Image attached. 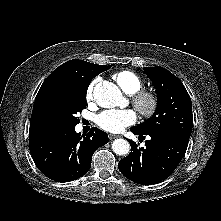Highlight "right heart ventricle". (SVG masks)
<instances>
[{
    "label": "right heart ventricle",
    "instance_id": "right-heart-ventricle-1",
    "mask_svg": "<svg viewBox=\"0 0 221 221\" xmlns=\"http://www.w3.org/2000/svg\"><path fill=\"white\" fill-rule=\"evenodd\" d=\"M119 87L127 94H134L143 86L142 78L130 70H121L112 75Z\"/></svg>",
    "mask_w": 221,
    "mask_h": 221
}]
</instances>
